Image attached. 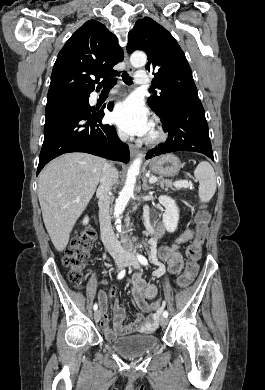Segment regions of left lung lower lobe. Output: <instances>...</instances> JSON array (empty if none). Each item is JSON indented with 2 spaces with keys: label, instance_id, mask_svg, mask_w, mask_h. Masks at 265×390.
Segmentation results:
<instances>
[{
  "label": "left lung lower lobe",
  "instance_id": "left-lung-lower-lobe-1",
  "mask_svg": "<svg viewBox=\"0 0 265 390\" xmlns=\"http://www.w3.org/2000/svg\"><path fill=\"white\" fill-rule=\"evenodd\" d=\"M161 122L163 129L168 132V139L149 151L147 159L171 152L193 151L214 160L208 124L200 99L172 103Z\"/></svg>",
  "mask_w": 265,
  "mask_h": 390
}]
</instances>
